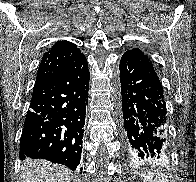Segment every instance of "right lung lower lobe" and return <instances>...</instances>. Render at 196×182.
Instances as JSON below:
<instances>
[{
	"label": "right lung lower lobe",
	"mask_w": 196,
	"mask_h": 182,
	"mask_svg": "<svg viewBox=\"0 0 196 182\" xmlns=\"http://www.w3.org/2000/svg\"><path fill=\"white\" fill-rule=\"evenodd\" d=\"M90 73L85 56L34 87L20 139V158L75 170L80 163ZM82 170V169H81Z\"/></svg>",
	"instance_id": "1"
}]
</instances>
